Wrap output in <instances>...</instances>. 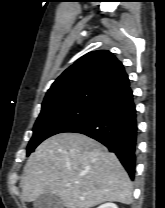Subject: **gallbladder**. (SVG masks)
<instances>
[{"mask_svg": "<svg viewBox=\"0 0 165 208\" xmlns=\"http://www.w3.org/2000/svg\"><path fill=\"white\" fill-rule=\"evenodd\" d=\"M34 208H64V203L56 194L46 193L34 201Z\"/></svg>", "mask_w": 165, "mask_h": 208, "instance_id": "obj_1", "label": "gallbladder"}]
</instances>
